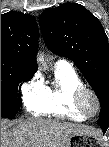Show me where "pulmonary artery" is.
Masks as SVG:
<instances>
[{
    "instance_id": "pulmonary-artery-1",
    "label": "pulmonary artery",
    "mask_w": 109,
    "mask_h": 147,
    "mask_svg": "<svg viewBox=\"0 0 109 147\" xmlns=\"http://www.w3.org/2000/svg\"><path fill=\"white\" fill-rule=\"evenodd\" d=\"M58 66H64V67H71V63L67 59H60L57 63Z\"/></svg>"
}]
</instances>
